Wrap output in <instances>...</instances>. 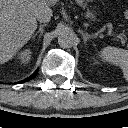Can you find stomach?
I'll list each match as a JSON object with an SVG mask.
<instances>
[{
    "instance_id": "stomach-1",
    "label": "stomach",
    "mask_w": 128,
    "mask_h": 128,
    "mask_svg": "<svg viewBox=\"0 0 128 128\" xmlns=\"http://www.w3.org/2000/svg\"><path fill=\"white\" fill-rule=\"evenodd\" d=\"M89 18L91 17V18H93L94 17V15L92 14V13H88V15H87Z\"/></svg>"
}]
</instances>
